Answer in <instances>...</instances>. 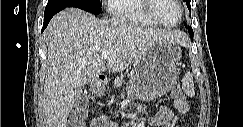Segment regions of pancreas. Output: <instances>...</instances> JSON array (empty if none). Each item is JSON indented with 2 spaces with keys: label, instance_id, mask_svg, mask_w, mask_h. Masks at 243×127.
Returning <instances> with one entry per match:
<instances>
[{
  "label": "pancreas",
  "instance_id": "cf45deb5",
  "mask_svg": "<svg viewBox=\"0 0 243 127\" xmlns=\"http://www.w3.org/2000/svg\"><path fill=\"white\" fill-rule=\"evenodd\" d=\"M124 80H123V76L121 77H117L115 80H114V88H118L120 86H122Z\"/></svg>",
  "mask_w": 243,
  "mask_h": 127
}]
</instances>
